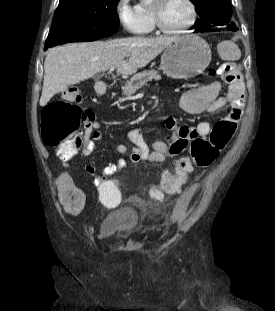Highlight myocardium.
<instances>
[{"mask_svg":"<svg viewBox=\"0 0 275 311\" xmlns=\"http://www.w3.org/2000/svg\"><path fill=\"white\" fill-rule=\"evenodd\" d=\"M168 0H156V4L152 6V14L154 19L155 27L163 34L166 35H178L185 33L188 31L196 22L197 19V8L193 0H185V2L188 4L191 17L189 21L181 28L178 29H168L162 22L161 19V13H160V7L163 3H165Z\"/></svg>","mask_w":275,"mask_h":311,"instance_id":"f54148a6","label":"myocardium"}]
</instances>
